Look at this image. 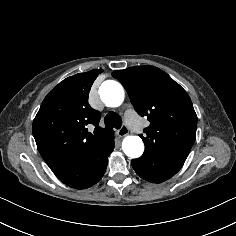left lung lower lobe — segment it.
I'll return each instance as SVG.
<instances>
[{
  "label": "left lung lower lobe",
  "mask_w": 236,
  "mask_h": 236,
  "mask_svg": "<svg viewBox=\"0 0 236 236\" xmlns=\"http://www.w3.org/2000/svg\"><path fill=\"white\" fill-rule=\"evenodd\" d=\"M185 160L166 153L144 154L131 161L136 174L146 181L161 183L174 176L183 166Z\"/></svg>",
  "instance_id": "left-lung-lower-lobe-1"
}]
</instances>
